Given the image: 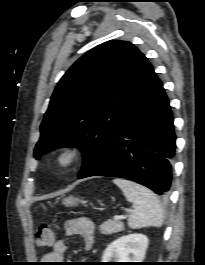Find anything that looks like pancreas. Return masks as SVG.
<instances>
[{"label": "pancreas", "mask_w": 205, "mask_h": 265, "mask_svg": "<svg viewBox=\"0 0 205 265\" xmlns=\"http://www.w3.org/2000/svg\"><path fill=\"white\" fill-rule=\"evenodd\" d=\"M99 230L102 234L109 235L124 230V225L121 221L108 220L99 226Z\"/></svg>", "instance_id": "obj_1"}]
</instances>
